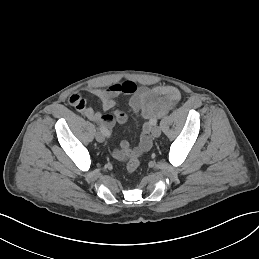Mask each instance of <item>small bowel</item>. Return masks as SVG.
Here are the masks:
<instances>
[{
	"mask_svg": "<svg viewBox=\"0 0 259 259\" xmlns=\"http://www.w3.org/2000/svg\"><path fill=\"white\" fill-rule=\"evenodd\" d=\"M84 90L101 100L105 112L115 107L118 96L130 95V108L133 111L140 112L145 119L141 127L137 149L132 150L128 142L123 141L120 148L112 151V156L117 160H124L133 154L138 155L147 152L152 146L150 131L156 120L171 110L181 98L179 90L173 86H137L132 81L115 83L107 87L88 86ZM69 103L84 117L98 123L107 130L113 128L116 123L123 124L127 121V115L119 110H115L113 114L95 111L87 105L85 99L78 92L70 95Z\"/></svg>",
	"mask_w": 259,
	"mask_h": 259,
	"instance_id": "small-bowel-1",
	"label": "small bowel"
}]
</instances>
